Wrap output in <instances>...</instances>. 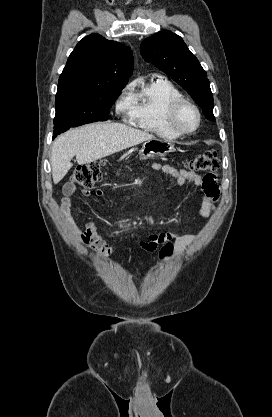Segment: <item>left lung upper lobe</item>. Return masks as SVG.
Here are the masks:
<instances>
[{
    "label": "left lung upper lobe",
    "instance_id": "left-lung-upper-lobe-1",
    "mask_svg": "<svg viewBox=\"0 0 272 417\" xmlns=\"http://www.w3.org/2000/svg\"><path fill=\"white\" fill-rule=\"evenodd\" d=\"M140 52L146 62L155 65L187 90L207 119L215 120L207 74L180 36L171 31L158 32L142 42Z\"/></svg>",
    "mask_w": 272,
    "mask_h": 417
}]
</instances>
